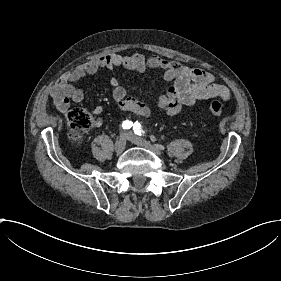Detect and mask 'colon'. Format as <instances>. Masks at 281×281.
I'll list each match as a JSON object with an SVG mask.
<instances>
[{"label":"colon","instance_id":"1","mask_svg":"<svg viewBox=\"0 0 281 281\" xmlns=\"http://www.w3.org/2000/svg\"><path fill=\"white\" fill-rule=\"evenodd\" d=\"M204 110L210 116L219 117L225 112V104L220 101H210L205 104ZM68 121L73 129V142L81 146L86 142V134L90 129V119L83 113L74 111L68 115Z\"/></svg>","mask_w":281,"mask_h":281}]
</instances>
